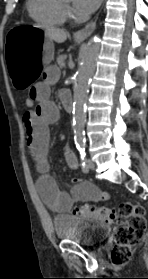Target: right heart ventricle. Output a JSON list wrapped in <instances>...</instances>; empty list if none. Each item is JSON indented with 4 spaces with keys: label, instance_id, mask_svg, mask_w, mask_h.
I'll return each instance as SVG.
<instances>
[{
    "label": "right heart ventricle",
    "instance_id": "e07e8e85",
    "mask_svg": "<svg viewBox=\"0 0 148 279\" xmlns=\"http://www.w3.org/2000/svg\"><path fill=\"white\" fill-rule=\"evenodd\" d=\"M31 18L44 26H59L66 20V11L59 0H27Z\"/></svg>",
    "mask_w": 148,
    "mask_h": 279
}]
</instances>
